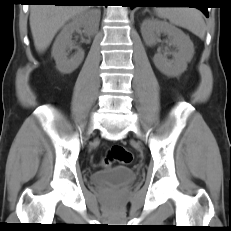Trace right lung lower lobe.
Here are the masks:
<instances>
[{"label":"right lung lower lobe","instance_id":"obj_1","mask_svg":"<svg viewBox=\"0 0 231 231\" xmlns=\"http://www.w3.org/2000/svg\"><path fill=\"white\" fill-rule=\"evenodd\" d=\"M30 3H52L55 5H73L83 0H28Z\"/></svg>","mask_w":231,"mask_h":231}]
</instances>
